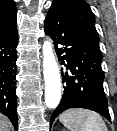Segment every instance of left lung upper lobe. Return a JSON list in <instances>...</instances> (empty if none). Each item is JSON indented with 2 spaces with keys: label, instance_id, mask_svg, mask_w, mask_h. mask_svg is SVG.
Here are the masks:
<instances>
[{
  "label": "left lung upper lobe",
  "instance_id": "5c2ea615",
  "mask_svg": "<svg viewBox=\"0 0 117 131\" xmlns=\"http://www.w3.org/2000/svg\"><path fill=\"white\" fill-rule=\"evenodd\" d=\"M51 7L65 9L72 18L84 44L102 58L95 18L90 6L84 0H54Z\"/></svg>",
  "mask_w": 117,
  "mask_h": 131
}]
</instances>
